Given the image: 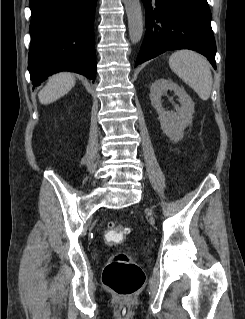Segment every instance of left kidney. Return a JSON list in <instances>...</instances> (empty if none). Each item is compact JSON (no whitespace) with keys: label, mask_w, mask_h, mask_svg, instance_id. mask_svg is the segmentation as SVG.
<instances>
[{"label":"left kidney","mask_w":245,"mask_h":319,"mask_svg":"<svg viewBox=\"0 0 245 319\" xmlns=\"http://www.w3.org/2000/svg\"><path fill=\"white\" fill-rule=\"evenodd\" d=\"M168 90L179 97L180 107L176 111H166L162 107L161 96ZM151 105L156 109L162 131L174 142L181 140L184 130L192 123L194 103L186 91L171 79H158L150 87Z\"/></svg>","instance_id":"5707ae66"}]
</instances>
